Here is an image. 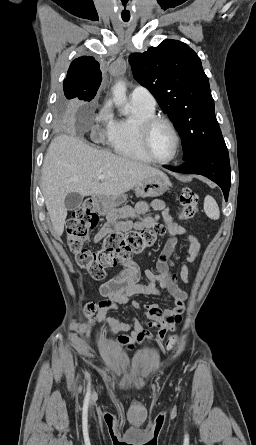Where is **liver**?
Listing matches in <instances>:
<instances>
[{"instance_id": "6515ba94", "label": "liver", "mask_w": 256, "mask_h": 445, "mask_svg": "<svg viewBox=\"0 0 256 445\" xmlns=\"http://www.w3.org/2000/svg\"><path fill=\"white\" fill-rule=\"evenodd\" d=\"M105 175L99 182L97 177ZM165 174L144 163L98 150L83 140L61 134L51 141L42 167V193L57 236L64 231L71 192L82 196H121L143 180Z\"/></svg>"}]
</instances>
